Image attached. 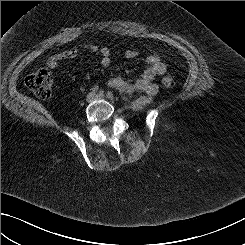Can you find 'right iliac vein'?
<instances>
[{
  "instance_id": "63e3f726",
  "label": "right iliac vein",
  "mask_w": 245,
  "mask_h": 245,
  "mask_svg": "<svg viewBox=\"0 0 245 245\" xmlns=\"http://www.w3.org/2000/svg\"><path fill=\"white\" fill-rule=\"evenodd\" d=\"M94 99H95L94 93H89V94L87 95L86 100H87L88 103L92 102Z\"/></svg>"
}]
</instances>
